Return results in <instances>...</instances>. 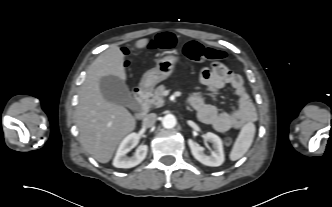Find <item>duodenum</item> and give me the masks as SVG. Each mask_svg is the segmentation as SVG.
I'll use <instances>...</instances> for the list:
<instances>
[{
    "label": "duodenum",
    "instance_id": "duodenum-1",
    "mask_svg": "<svg viewBox=\"0 0 332 207\" xmlns=\"http://www.w3.org/2000/svg\"><path fill=\"white\" fill-rule=\"evenodd\" d=\"M148 93H149L148 88L144 87V86L137 88L134 92V97H135V100L138 104V110L136 112V118L138 120H142L147 114V111H148V104H147Z\"/></svg>",
    "mask_w": 332,
    "mask_h": 207
}]
</instances>
